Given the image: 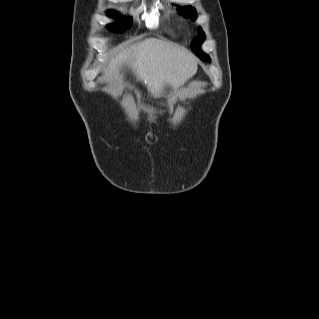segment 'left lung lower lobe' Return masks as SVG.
<instances>
[{"label":"left lung lower lobe","mask_w":319,"mask_h":319,"mask_svg":"<svg viewBox=\"0 0 319 319\" xmlns=\"http://www.w3.org/2000/svg\"><path fill=\"white\" fill-rule=\"evenodd\" d=\"M206 55V54H205ZM205 55H203V54H199V55H197L199 58H201L202 60H205V61H209V60H207V57L205 56ZM209 59V58H208Z\"/></svg>","instance_id":"0a47b994"}]
</instances>
